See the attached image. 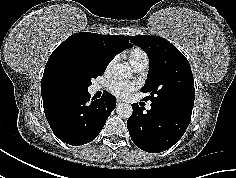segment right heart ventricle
Wrapping results in <instances>:
<instances>
[{
    "label": "right heart ventricle",
    "mask_w": 236,
    "mask_h": 178,
    "mask_svg": "<svg viewBox=\"0 0 236 178\" xmlns=\"http://www.w3.org/2000/svg\"><path fill=\"white\" fill-rule=\"evenodd\" d=\"M127 58L133 68L141 65H148V56L144 50L138 47L130 49L127 53Z\"/></svg>",
    "instance_id": "obj_1"
}]
</instances>
